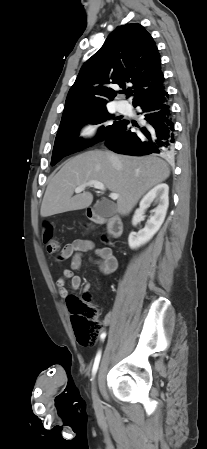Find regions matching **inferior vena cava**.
<instances>
[{
	"mask_svg": "<svg viewBox=\"0 0 207 449\" xmlns=\"http://www.w3.org/2000/svg\"><path fill=\"white\" fill-rule=\"evenodd\" d=\"M109 159L113 162L116 163L118 161V158L116 155L112 154V153H107Z\"/></svg>",
	"mask_w": 207,
	"mask_h": 449,
	"instance_id": "inferior-vena-cava-1",
	"label": "inferior vena cava"
}]
</instances>
